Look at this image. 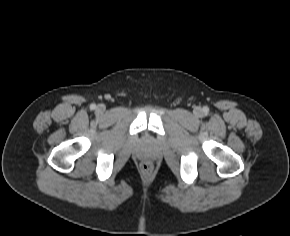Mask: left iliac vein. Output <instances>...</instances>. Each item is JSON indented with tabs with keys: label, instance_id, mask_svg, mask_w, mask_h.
<instances>
[{
	"label": "left iliac vein",
	"instance_id": "left-iliac-vein-1",
	"mask_svg": "<svg viewBox=\"0 0 290 236\" xmlns=\"http://www.w3.org/2000/svg\"><path fill=\"white\" fill-rule=\"evenodd\" d=\"M194 113H195L196 116H202V114H203L201 108H196L195 111H194Z\"/></svg>",
	"mask_w": 290,
	"mask_h": 236
}]
</instances>
